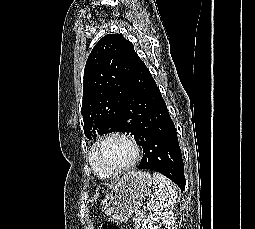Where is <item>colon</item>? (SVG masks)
<instances>
[{
    "instance_id": "1",
    "label": "colon",
    "mask_w": 255,
    "mask_h": 229,
    "mask_svg": "<svg viewBox=\"0 0 255 229\" xmlns=\"http://www.w3.org/2000/svg\"><path fill=\"white\" fill-rule=\"evenodd\" d=\"M102 229H120L115 221L107 220L104 222Z\"/></svg>"
}]
</instances>
